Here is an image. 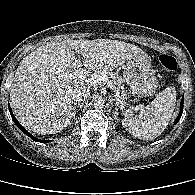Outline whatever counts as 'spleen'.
Returning <instances> with one entry per match:
<instances>
[{"mask_svg":"<svg viewBox=\"0 0 195 195\" xmlns=\"http://www.w3.org/2000/svg\"><path fill=\"white\" fill-rule=\"evenodd\" d=\"M175 103V87H166L146 106L143 112L135 117L124 118L122 125L129 133L139 139H155L167 127L175 109Z\"/></svg>","mask_w":195,"mask_h":195,"instance_id":"spleen-1","label":"spleen"}]
</instances>
